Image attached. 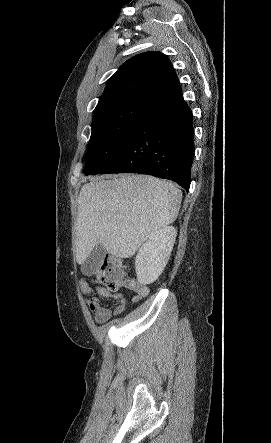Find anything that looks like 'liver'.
Returning <instances> with one entry per match:
<instances>
[{
    "label": "liver",
    "instance_id": "obj_1",
    "mask_svg": "<svg viewBox=\"0 0 271 443\" xmlns=\"http://www.w3.org/2000/svg\"><path fill=\"white\" fill-rule=\"evenodd\" d=\"M181 202L173 182L152 176L119 174L84 184L77 204V263L98 243L116 257H132L148 237L175 222Z\"/></svg>",
    "mask_w": 271,
    "mask_h": 443
}]
</instances>
